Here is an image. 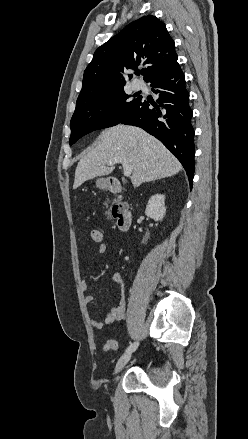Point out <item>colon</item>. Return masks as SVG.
<instances>
[{
	"instance_id": "5ec220e1",
	"label": "colon",
	"mask_w": 248,
	"mask_h": 439,
	"mask_svg": "<svg viewBox=\"0 0 248 439\" xmlns=\"http://www.w3.org/2000/svg\"><path fill=\"white\" fill-rule=\"evenodd\" d=\"M91 240L96 244L103 243V234L99 229H93L90 232ZM105 351L108 350H117L119 348L118 342L116 340H108L105 342L103 346Z\"/></svg>"
}]
</instances>
